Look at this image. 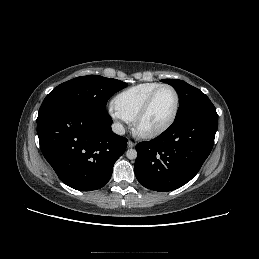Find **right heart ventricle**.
I'll list each match as a JSON object with an SVG mask.
<instances>
[{
  "label": "right heart ventricle",
  "mask_w": 259,
  "mask_h": 259,
  "mask_svg": "<svg viewBox=\"0 0 259 259\" xmlns=\"http://www.w3.org/2000/svg\"><path fill=\"white\" fill-rule=\"evenodd\" d=\"M145 82L119 92L113 99L114 108L129 122H132L150 93L160 85Z\"/></svg>",
  "instance_id": "e07e8e85"
}]
</instances>
